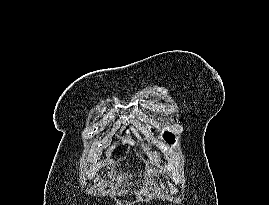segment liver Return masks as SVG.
Masks as SVG:
<instances>
[{
  "mask_svg": "<svg viewBox=\"0 0 269 205\" xmlns=\"http://www.w3.org/2000/svg\"><path fill=\"white\" fill-rule=\"evenodd\" d=\"M117 180H118L119 183H121V181H122V176H119V177L117 178Z\"/></svg>",
  "mask_w": 269,
  "mask_h": 205,
  "instance_id": "obj_1",
  "label": "liver"
}]
</instances>
